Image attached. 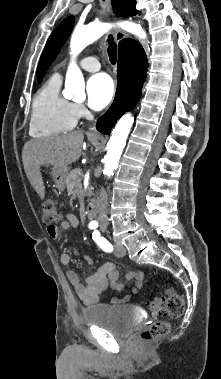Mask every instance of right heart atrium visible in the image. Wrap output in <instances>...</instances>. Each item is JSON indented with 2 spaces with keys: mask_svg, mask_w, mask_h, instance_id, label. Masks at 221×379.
Instances as JSON below:
<instances>
[{
  "mask_svg": "<svg viewBox=\"0 0 221 379\" xmlns=\"http://www.w3.org/2000/svg\"><path fill=\"white\" fill-rule=\"evenodd\" d=\"M73 111L76 118H81L86 112L84 106L80 103H73Z\"/></svg>",
  "mask_w": 221,
  "mask_h": 379,
  "instance_id": "right-heart-atrium-1",
  "label": "right heart atrium"
}]
</instances>
